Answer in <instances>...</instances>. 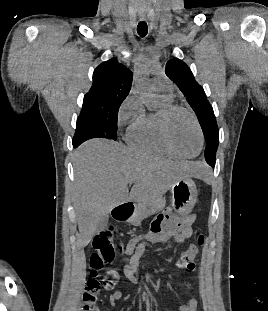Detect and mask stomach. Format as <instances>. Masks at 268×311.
I'll use <instances>...</instances> for the list:
<instances>
[{"label": "stomach", "instance_id": "obj_1", "mask_svg": "<svg viewBox=\"0 0 268 311\" xmlns=\"http://www.w3.org/2000/svg\"><path fill=\"white\" fill-rule=\"evenodd\" d=\"M172 207L179 214H188L191 212L197 198L195 182L186 177L176 181L171 187Z\"/></svg>", "mask_w": 268, "mask_h": 311}]
</instances>
